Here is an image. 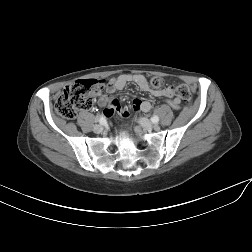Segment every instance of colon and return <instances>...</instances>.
I'll use <instances>...</instances> for the list:
<instances>
[{"label":"colon","mask_w":252,"mask_h":252,"mask_svg":"<svg viewBox=\"0 0 252 252\" xmlns=\"http://www.w3.org/2000/svg\"><path fill=\"white\" fill-rule=\"evenodd\" d=\"M149 84L154 89H160L164 86V80L155 76L150 79ZM103 86L104 82L97 79L79 80L68 85L57 99V113L64 118L73 119L79 110L91 104L92 96L100 93ZM175 91L184 102L191 104L192 95L187 86L179 85Z\"/></svg>","instance_id":"colon-1"}]
</instances>
